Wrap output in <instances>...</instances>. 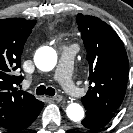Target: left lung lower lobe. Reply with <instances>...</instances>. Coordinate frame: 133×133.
<instances>
[{
    "label": "left lung lower lobe",
    "instance_id": "1",
    "mask_svg": "<svg viewBox=\"0 0 133 133\" xmlns=\"http://www.w3.org/2000/svg\"><path fill=\"white\" fill-rule=\"evenodd\" d=\"M86 117L81 122L80 128L82 130H100L102 129L114 116L115 113L101 111L93 106H85Z\"/></svg>",
    "mask_w": 133,
    "mask_h": 133
}]
</instances>
